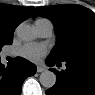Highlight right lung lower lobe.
<instances>
[{
    "label": "right lung lower lobe",
    "mask_w": 95,
    "mask_h": 95,
    "mask_svg": "<svg viewBox=\"0 0 95 95\" xmlns=\"http://www.w3.org/2000/svg\"><path fill=\"white\" fill-rule=\"evenodd\" d=\"M35 72L36 66L20 57L10 68L0 64V95H20L23 81Z\"/></svg>",
    "instance_id": "98d812e1"
}]
</instances>
